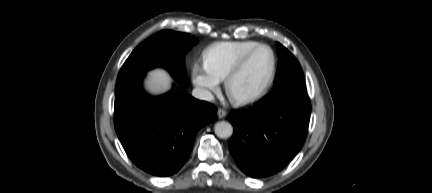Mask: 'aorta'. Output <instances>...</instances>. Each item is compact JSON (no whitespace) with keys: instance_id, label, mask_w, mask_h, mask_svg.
I'll use <instances>...</instances> for the list:
<instances>
[{"instance_id":"obj_1","label":"aorta","mask_w":432,"mask_h":193,"mask_svg":"<svg viewBox=\"0 0 432 193\" xmlns=\"http://www.w3.org/2000/svg\"><path fill=\"white\" fill-rule=\"evenodd\" d=\"M214 132L219 138L225 139L233 134V127L229 122L220 121L215 124Z\"/></svg>"}]
</instances>
